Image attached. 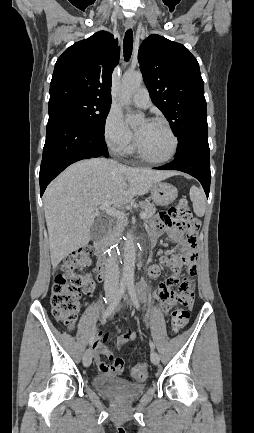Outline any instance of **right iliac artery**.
Wrapping results in <instances>:
<instances>
[{
    "label": "right iliac artery",
    "instance_id": "1",
    "mask_svg": "<svg viewBox=\"0 0 254 433\" xmlns=\"http://www.w3.org/2000/svg\"><path fill=\"white\" fill-rule=\"evenodd\" d=\"M126 287H127V283H126V282H121V283H120V287H119V290H118V292H117L116 297H115L114 300L111 302V304L107 307V309H106V311H105V313H104V315H103V317H102V320H101V323H102V324H104V323L106 322V319H107L109 316H111V314L114 312L115 308H116L117 305L119 304V302H120V300H121V298H122V296H123V294H124V292H125V290H126ZM105 302L107 303L106 300H105ZM92 342H93V338H91V340H90V344H92Z\"/></svg>",
    "mask_w": 254,
    "mask_h": 433
}]
</instances>
